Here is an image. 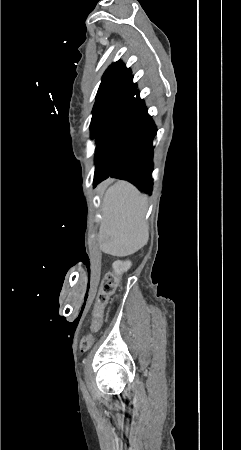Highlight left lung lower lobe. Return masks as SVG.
<instances>
[{
  "label": "left lung lower lobe",
  "mask_w": 241,
  "mask_h": 450,
  "mask_svg": "<svg viewBox=\"0 0 241 450\" xmlns=\"http://www.w3.org/2000/svg\"><path fill=\"white\" fill-rule=\"evenodd\" d=\"M124 85L94 119L96 137L94 186L109 176L127 180L152 194L153 138L156 126L139 97L132 72L124 67Z\"/></svg>",
  "instance_id": "1"
}]
</instances>
